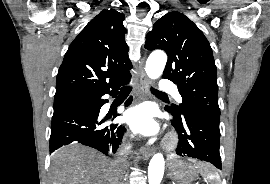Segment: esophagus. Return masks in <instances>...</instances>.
Here are the masks:
<instances>
[{"label": "esophagus", "instance_id": "esophagus-1", "mask_svg": "<svg viewBox=\"0 0 270 184\" xmlns=\"http://www.w3.org/2000/svg\"><path fill=\"white\" fill-rule=\"evenodd\" d=\"M145 57L141 61V65L138 70V93L141 99H145L148 96V79L144 71ZM144 159H148L153 154V149L150 147H143L141 150Z\"/></svg>", "mask_w": 270, "mask_h": 184}]
</instances>
